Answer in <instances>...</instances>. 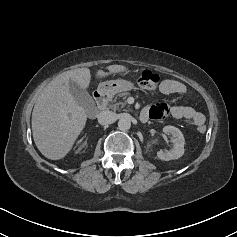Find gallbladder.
Returning a JSON list of instances; mask_svg holds the SVG:
<instances>
[{
	"mask_svg": "<svg viewBox=\"0 0 237 237\" xmlns=\"http://www.w3.org/2000/svg\"><path fill=\"white\" fill-rule=\"evenodd\" d=\"M69 90L78 104L86 110H89L94 106V101L90 94L85 89L81 88L76 82L70 80Z\"/></svg>",
	"mask_w": 237,
	"mask_h": 237,
	"instance_id": "bac80fb5",
	"label": "gallbladder"
}]
</instances>
